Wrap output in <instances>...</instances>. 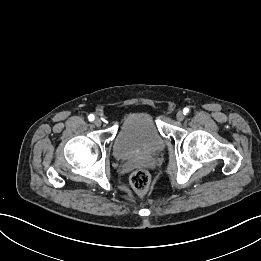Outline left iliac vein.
<instances>
[{"label":"left iliac vein","instance_id":"4c4485c4","mask_svg":"<svg viewBox=\"0 0 261 261\" xmlns=\"http://www.w3.org/2000/svg\"><path fill=\"white\" fill-rule=\"evenodd\" d=\"M176 118L178 121H182L185 118V114L182 111H178Z\"/></svg>","mask_w":261,"mask_h":261}]
</instances>
